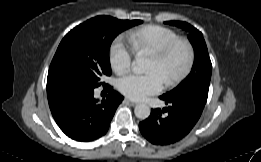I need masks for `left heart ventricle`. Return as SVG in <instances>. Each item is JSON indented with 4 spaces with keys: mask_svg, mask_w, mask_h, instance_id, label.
Returning a JSON list of instances; mask_svg holds the SVG:
<instances>
[{
    "mask_svg": "<svg viewBox=\"0 0 261 162\" xmlns=\"http://www.w3.org/2000/svg\"><path fill=\"white\" fill-rule=\"evenodd\" d=\"M186 61V52L183 48L175 50L171 56L165 61H160L157 58L150 56L147 70L159 71L165 82L172 76L180 72Z\"/></svg>",
    "mask_w": 261,
    "mask_h": 162,
    "instance_id": "b2bd125f",
    "label": "left heart ventricle"
}]
</instances>
